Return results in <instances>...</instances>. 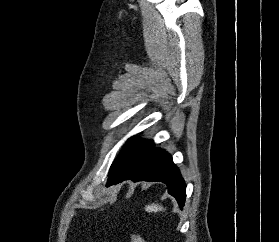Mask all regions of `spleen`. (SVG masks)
Listing matches in <instances>:
<instances>
[{
  "mask_svg": "<svg viewBox=\"0 0 279 242\" xmlns=\"http://www.w3.org/2000/svg\"><path fill=\"white\" fill-rule=\"evenodd\" d=\"M145 210L147 212H157V211L164 210V208L159 204H151V205L146 206Z\"/></svg>",
  "mask_w": 279,
  "mask_h": 242,
  "instance_id": "1",
  "label": "spleen"
}]
</instances>
